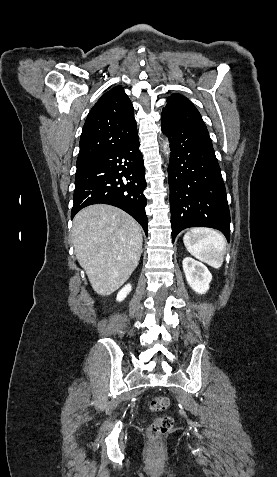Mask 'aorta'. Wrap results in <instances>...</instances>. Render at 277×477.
Here are the masks:
<instances>
[{
    "instance_id": "aorta-1",
    "label": "aorta",
    "mask_w": 277,
    "mask_h": 477,
    "mask_svg": "<svg viewBox=\"0 0 277 477\" xmlns=\"http://www.w3.org/2000/svg\"><path fill=\"white\" fill-rule=\"evenodd\" d=\"M164 148H165V150H167V148H168V143H165ZM166 154L168 155V151H166Z\"/></svg>"
}]
</instances>
